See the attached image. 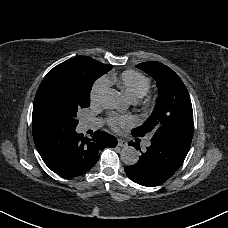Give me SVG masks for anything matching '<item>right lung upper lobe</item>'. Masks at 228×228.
Instances as JSON below:
<instances>
[{"mask_svg": "<svg viewBox=\"0 0 228 228\" xmlns=\"http://www.w3.org/2000/svg\"><path fill=\"white\" fill-rule=\"evenodd\" d=\"M100 64L102 63L90 57L78 56L57 65L52 70L59 71L70 77H79L82 75H86L91 69L99 66Z\"/></svg>", "mask_w": 228, "mask_h": 228, "instance_id": "right-lung-upper-lobe-1", "label": "right lung upper lobe"}]
</instances>
